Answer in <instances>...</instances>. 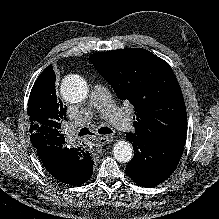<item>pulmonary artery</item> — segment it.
<instances>
[{"label":"pulmonary artery","mask_w":219,"mask_h":219,"mask_svg":"<svg viewBox=\"0 0 219 219\" xmlns=\"http://www.w3.org/2000/svg\"><path fill=\"white\" fill-rule=\"evenodd\" d=\"M94 109L98 110L106 121L119 130L129 131L132 129L130 117L114 104L109 91L101 82L95 83L92 87L90 101L88 106L80 112L79 120L88 122L92 118Z\"/></svg>","instance_id":"1"}]
</instances>
